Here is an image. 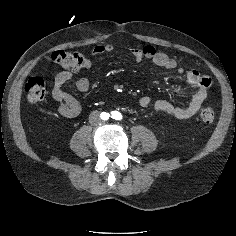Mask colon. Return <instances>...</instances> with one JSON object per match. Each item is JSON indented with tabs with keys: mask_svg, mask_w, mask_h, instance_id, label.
Here are the masks:
<instances>
[{
	"mask_svg": "<svg viewBox=\"0 0 236 236\" xmlns=\"http://www.w3.org/2000/svg\"><path fill=\"white\" fill-rule=\"evenodd\" d=\"M52 59L61 67L69 70H81L89 67L90 62L86 56L77 51H56L52 54ZM26 96L29 102L39 103L45 100L47 90L45 82L40 77L30 78L25 85ZM200 118L206 124L215 121V112L210 107H204L200 111Z\"/></svg>",
	"mask_w": 236,
	"mask_h": 236,
	"instance_id": "colon-1",
	"label": "colon"
}]
</instances>
